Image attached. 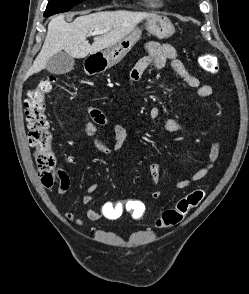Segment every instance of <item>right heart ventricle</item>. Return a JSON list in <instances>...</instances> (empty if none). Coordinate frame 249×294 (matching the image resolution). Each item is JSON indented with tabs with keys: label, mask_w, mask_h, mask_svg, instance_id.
<instances>
[{
	"label": "right heart ventricle",
	"mask_w": 249,
	"mask_h": 294,
	"mask_svg": "<svg viewBox=\"0 0 249 294\" xmlns=\"http://www.w3.org/2000/svg\"><path fill=\"white\" fill-rule=\"evenodd\" d=\"M145 3L149 7H159L161 0H145Z\"/></svg>",
	"instance_id": "right-heart-ventricle-1"
}]
</instances>
